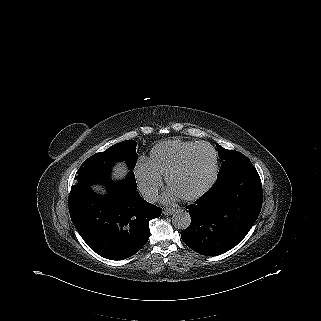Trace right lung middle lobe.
<instances>
[{
    "instance_id": "right-lung-middle-lobe-1",
    "label": "right lung middle lobe",
    "mask_w": 321,
    "mask_h": 321,
    "mask_svg": "<svg viewBox=\"0 0 321 321\" xmlns=\"http://www.w3.org/2000/svg\"><path fill=\"white\" fill-rule=\"evenodd\" d=\"M136 141L126 140L109 147L106 151L96 153L89 157L77 171L76 184L71 190L81 187H89L92 183H103L108 189L123 187L129 190H136L137 184L133 169L136 165ZM125 161L130 170L125 180L111 182L109 174L114 163Z\"/></svg>"
}]
</instances>
